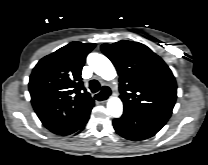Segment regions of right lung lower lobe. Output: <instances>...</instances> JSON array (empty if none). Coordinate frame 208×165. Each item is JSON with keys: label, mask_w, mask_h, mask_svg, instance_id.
<instances>
[{"label": "right lung lower lobe", "mask_w": 208, "mask_h": 165, "mask_svg": "<svg viewBox=\"0 0 208 165\" xmlns=\"http://www.w3.org/2000/svg\"><path fill=\"white\" fill-rule=\"evenodd\" d=\"M88 119H89V117L86 119V121L84 122L83 126H82L78 131H76V132L73 133V134H78V133L85 127V125H86Z\"/></svg>", "instance_id": "98d812e1"}]
</instances>
